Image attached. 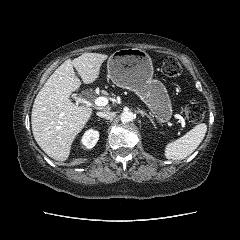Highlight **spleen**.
I'll list each match as a JSON object with an SVG mask.
<instances>
[{
  "instance_id": "obj_1",
  "label": "spleen",
  "mask_w": 240,
  "mask_h": 240,
  "mask_svg": "<svg viewBox=\"0 0 240 240\" xmlns=\"http://www.w3.org/2000/svg\"><path fill=\"white\" fill-rule=\"evenodd\" d=\"M207 125L201 123L188 131L184 136L169 142L165 146L164 155L167 159L183 160L192 154L205 137Z\"/></svg>"
}]
</instances>
